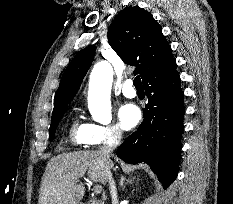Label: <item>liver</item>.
I'll return each mask as SVG.
<instances>
[{"label": "liver", "instance_id": "obj_1", "mask_svg": "<svg viewBox=\"0 0 233 204\" xmlns=\"http://www.w3.org/2000/svg\"><path fill=\"white\" fill-rule=\"evenodd\" d=\"M113 162L99 151H76L62 153L48 162L39 192V204H79L85 187L79 178L87 173L93 182L105 185L107 170Z\"/></svg>", "mask_w": 233, "mask_h": 204}]
</instances>
